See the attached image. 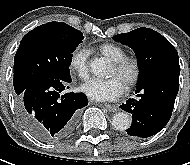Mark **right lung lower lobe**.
I'll return each instance as SVG.
<instances>
[{"mask_svg":"<svg viewBox=\"0 0 190 165\" xmlns=\"http://www.w3.org/2000/svg\"><path fill=\"white\" fill-rule=\"evenodd\" d=\"M69 79H41L29 85L16 101L19 117L36 138L49 142L70 135L79 109L88 104L82 93L61 94ZM68 88V87H67Z\"/></svg>","mask_w":190,"mask_h":165,"instance_id":"obj_1","label":"right lung lower lobe"}]
</instances>
